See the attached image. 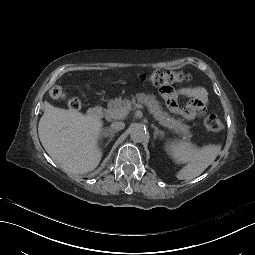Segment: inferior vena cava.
<instances>
[{
  "label": "inferior vena cava",
  "mask_w": 255,
  "mask_h": 255,
  "mask_svg": "<svg viewBox=\"0 0 255 255\" xmlns=\"http://www.w3.org/2000/svg\"><path fill=\"white\" fill-rule=\"evenodd\" d=\"M125 127V124L123 122L117 121L111 124V129L112 130H116V131H120L123 130Z\"/></svg>",
  "instance_id": "602c4592"
}]
</instances>
